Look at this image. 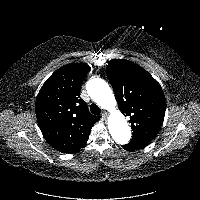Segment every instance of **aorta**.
<instances>
[{"label":"aorta","mask_w":200,"mask_h":200,"mask_svg":"<svg viewBox=\"0 0 200 200\" xmlns=\"http://www.w3.org/2000/svg\"><path fill=\"white\" fill-rule=\"evenodd\" d=\"M86 89L93 101L110 112L108 129L114 141L122 145L127 144L131 138V129L124 115L118 110L108 83L100 78H94L86 83Z\"/></svg>","instance_id":"aorta-1"}]
</instances>
